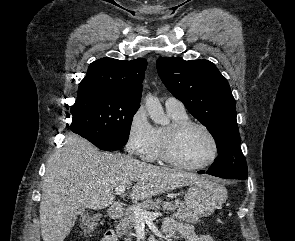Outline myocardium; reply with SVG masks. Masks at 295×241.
<instances>
[{
	"label": "myocardium",
	"mask_w": 295,
	"mask_h": 241,
	"mask_svg": "<svg viewBox=\"0 0 295 241\" xmlns=\"http://www.w3.org/2000/svg\"><path fill=\"white\" fill-rule=\"evenodd\" d=\"M192 127L199 128L204 133H206V135L209 137L213 145V152L211 157L202 164L191 165V164L183 163L179 161L178 159H176L173 154V144L176 138L182 132ZM219 152H220L219 143L214 133L206 125L197 121L186 120V121L172 122L168 127L164 129L162 137H161L160 157L168 164L180 169L190 170V171L205 169L211 166L217 160L219 156Z\"/></svg>",
	"instance_id": "1"
}]
</instances>
